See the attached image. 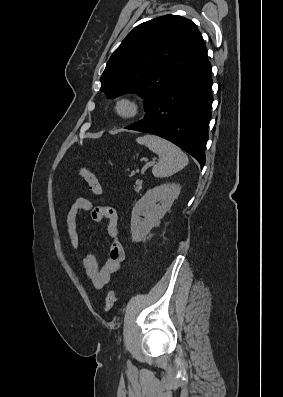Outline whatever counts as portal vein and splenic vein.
<instances>
[{
    "instance_id": "obj_1",
    "label": "portal vein and splenic vein",
    "mask_w": 283,
    "mask_h": 397,
    "mask_svg": "<svg viewBox=\"0 0 283 397\" xmlns=\"http://www.w3.org/2000/svg\"><path fill=\"white\" fill-rule=\"evenodd\" d=\"M154 164H155V161H151V162L147 163V164L142 168L141 173L144 174L145 171H146L149 167L153 166Z\"/></svg>"
}]
</instances>
